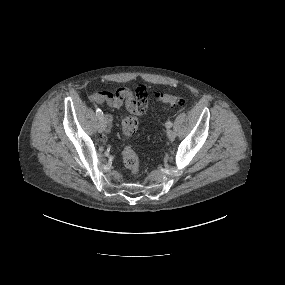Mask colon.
<instances>
[{"instance_id":"5ec220e1","label":"colon","mask_w":285,"mask_h":285,"mask_svg":"<svg viewBox=\"0 0 285 285\" xmlns=\"http://www.w3.org/2000/svg\"><path fill=\"white\" fill-rule=\"evenodd\" d=\"M143 90L144 86L140 85L136 88L135 91L136 94L140 96L143 94ZM155 98L170 107L180 106L184 103L183 96L178 94L157 92L155 93ZM138 127L139 121L134 116H127L121 122L122 134L127 138L133 136L136 133ZM122 156L125 167L132 172H136L139 165V158L136 152L131 147L126 146L122 150Z\"/></svg>"}]
</instances>
